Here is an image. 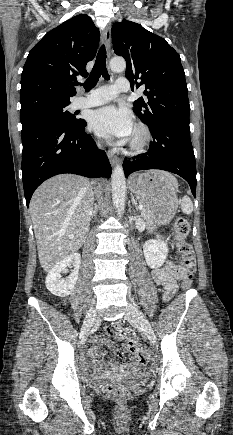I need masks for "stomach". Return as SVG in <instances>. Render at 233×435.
I'll return each mask as SVG.
<instances>
[{"mask_svg":"<svg viewBox=\"0 0 233 435\" xmlns=\"http://www.w3.org/2000/svg\"><path fill=\"white\" fill-rule=\"evenodd\" d=\"M130 190L150 208L158 224H167L178 208L177 180L169 173L150 170L133 174L129 179Z\"/></svg>","mask_w":233,"mask_h":435,"instance_id":"1","label":"stomach"}]
</instances>
